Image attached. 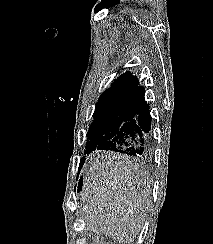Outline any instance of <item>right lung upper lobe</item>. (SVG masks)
<instances>
[{
    "mask_svg": "<svg viewBox=\"0 0 213 244\" xmlns=\"http://www.w3.org/2000/svg\"><path fill=\"white\" fill-rule=\"evenodd\" d=\"M144 87L139 85L137 76H133L130 72L123 73L106 89L99 99L115 97V96H131L137 97Z\"/></svg>",
    "mask_w": 213,
    "mask_h": 244,
    "instance_id": "obj_1",
    "label": "right lung upper lobe"
}]
</instances>
